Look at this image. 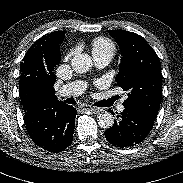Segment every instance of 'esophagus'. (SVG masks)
<instances>
[{"mask_svg": "<svg viewBox=\"0 0 183 183\" xmlns=\"http://www.w3.org/2000/svg\"><path fill=\"white\" fill-rule=\"evenodd\" d=\"M85 109H88L90 111H92L93 113H98L100 112V108H97L95 106H91V105H85L84 106Z\"/></svg>", "mask_w": 183, "mask_h": 183, "instance_id": "obj_1", "label": "esophagus"}]
</instances>
